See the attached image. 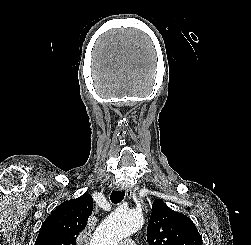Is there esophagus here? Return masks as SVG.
<instances>
[{"label": "esophagus", "mask_w": 251, "mask_h": 245, "mask_svg": "<svg viewBox=\"0 0 251 245\" xmlns=\"http://www.w3.org/2000/svg\"><path fill=\"white\" fill-rule=\"evenodd\" d=\"M125 192H126L127 198H131V196H132V189L131 188H126Z\"/></svg>", "instance_id": "esophagus-1"}]
</instances>
